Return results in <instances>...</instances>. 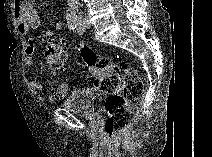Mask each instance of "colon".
I'll return each mask as SVG.
<instances>
[{"label":"colon","mask_w":212,"mask_h":157,"mask_svg":"<svg viewBox=\"0 0 212 157\" xmlns=\"http://www.w3.org/2000/svg\"><path fill=\"white\" fill-rule=\"evenodd\" d=\"M78 50L86 64L87 75L93 79L96 87L109 95L105 132L109 137L117 138L133 120L128 101L139 98L142 81L136 70L126 64L118 65L110 58H101L86 45L79 46ZM66 58L64 45L51 43L46 47L45 59L52 71H62Z\"/></svg>","instance_id":"obj_1"}]
</instances>
